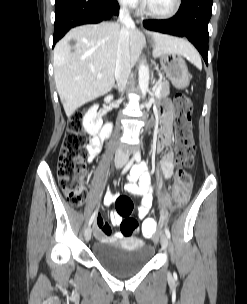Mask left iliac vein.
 Wrapping results in <instances>:
<instances>
[{
    "instance_id": "left-iliac-vein-1",
    "label": "left iliac vein",
    "mask_w": 247,
    "mask_h": 304,
    "mask_svg": "<svg viewBox=\"0 0 247 304\" xmlns=\"http://www.w3.org/2000/svg\"><path fill=\"white\" fill-rule=\"evenodd\" d=\"M161 246L163 248V250H166L168 247V237L166 236V234H162L161 235Z\"/></svg>"
}]
</instances>
